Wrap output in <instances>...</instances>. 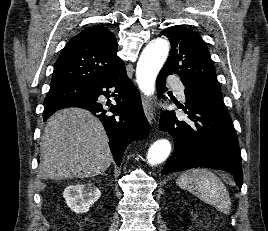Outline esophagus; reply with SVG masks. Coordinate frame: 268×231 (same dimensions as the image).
I'll return each mask as SVG.
<instances>
[{
	"label": "esophagus",
	"mask_w": 268,
	"mask_h": 231,
	"mask_svg": "<svg viewBox=\"0 0 268 231\" xmlns=\"http://www.w3.org/2000/svg\"><path fill=\"white\" fill-rule=\"evenodd\" d=\"M142 104H143L145 116L149 124H152L154 120V107H153L151 99L145 96H142Z\"/></svg>",
	"instance_id": "esophagus-1"
}]
</instances>
